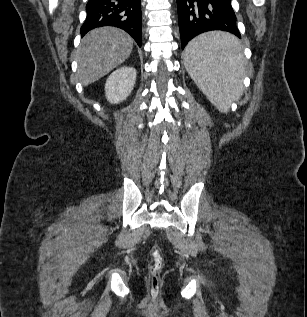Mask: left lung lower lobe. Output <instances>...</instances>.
<instances>
[{
	"label": "left lung lower lobe",
	"instance_id": "obj_1",
	"mask_svg": "<svg viewBox=\"0 0 307 317\" xmlns=\"http://www.w3.org/2000/svg\"><path fill=\"white\" fill-rule=\"evenodd\" d=\"M177 9L182 49L195 36L212 30L241 38L231 0H177ZM237 54L238 45L232 44L221 49L217 57L227 61Z\"/></svg>",
	"mask_w": 307,
	"mask_h": 317
}]
</instances>
